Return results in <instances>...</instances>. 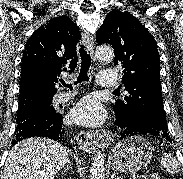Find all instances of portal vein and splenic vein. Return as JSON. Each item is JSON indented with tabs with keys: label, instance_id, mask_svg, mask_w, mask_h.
<instances>
[{
	"label": "portal vein and splenic vein",
	"instance_id": "1",
	"mask_svg": "<svg viewBox=\"0 0 183 179\" xmlns=\"http://www.w3.org/2000/svg\"><path fill=\"white\" fill-rule=\"evenodd\" d=\"M142 177H143L144 179H147V175H143Z\"/></svg>",
	"mask_w": 183,
	"mask_h": 179
}]
</instances>
